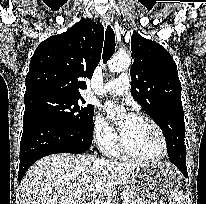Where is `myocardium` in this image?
I'll use <instances>...</instances> for the list:
<instances>
[{
  "instance_id": "1",
  "label": "myocardium",
  "mask_w": 206,
  "mask_h": 204,
  "mask_svg": "<svg viewBox=\"0 0 206 204\" xmlns=\"http://www.w3.org/2000/svg\"><path fill=\"white\" fill-rule=\"evenodd\" d=\"M131 116L135 118L143 119L154 127V129L157 131L158 135L160 136V139L162 142V152L160 153V155L153 157V158H148V157L135 154L127 147L121 133H119L118 139H119L120 152L128 158H131L133 160L140 161V162H145V163H157V162L164 160L169 154V143H168L167 137L162 127L148 114H145L142 112H135Z\"/></svg>"
}]
</instances>
